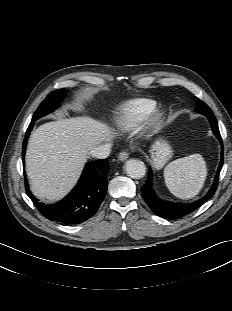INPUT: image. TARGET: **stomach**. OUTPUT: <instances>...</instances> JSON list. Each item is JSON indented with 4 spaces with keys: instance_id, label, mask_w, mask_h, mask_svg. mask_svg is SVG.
Returning <instances> with one entry per match:
<instances>
[{
    "instance_id": "1",
    "label": "stomach",
    "mask_w": 232,
    "mask_h": 311,
    "mask_svg": "<svg viewBox=\"0 0 232 311\" xmlns=\"http://www.w3.org/2000/svg\"><path fill=\"white\" fill-rule=\"evenodd\" d=\"M151 161L156 169H161L173 155L170 144L162 139L156 140L150 149Z\"/></svg>"
}]
</instances>
